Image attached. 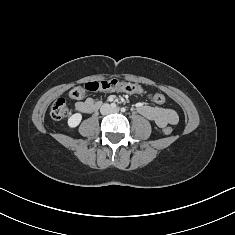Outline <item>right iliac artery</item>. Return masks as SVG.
<instances>
[{"mask_svg":"<svg viewBox=\"0 0 235 235\" xmlns=\"http://www.w3.org/2000/svg\"><path fill=\"white\" fill-rule=\"evenodd\" d=\"M111 107L112 108H116V104L115 103H111Z\"/></svg>","mask_w":235,"mask_h":235,"instance_id":"1","label":"right iliac artery"}]
</instances>
